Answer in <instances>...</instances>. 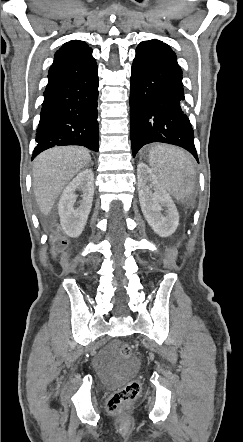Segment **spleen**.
<instances>
[{"label":"spleen","mask_w":243,"mask_h":442,"mask_svg":"<svg viewBox=\"0 0 243 442\" xmlns=\"http://www.w3.org/2000/svg\"><path fill=\"white\" fill-rule=\"evenodd\" d=\"M149 165L160 185L171 194L191 191V184L186 182L194 174L193 161L183 151L163 145L153 147Z\"/></svg>","instance_id":"1"}]
</instances>
